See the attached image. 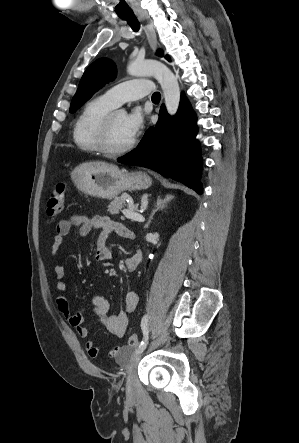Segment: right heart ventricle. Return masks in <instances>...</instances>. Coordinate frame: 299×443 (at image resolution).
Returning <instances> with one entry per match:
<instances>
[{"label":"right heart ventricle","mask_w":299,"mask_h":443,"mask_svg":"<svg viewBox=\"0 0 299 443\" xmlns=\"http://www.w3.org/2000/svg\"><path fill=\"white\" fill-rule=\"evenodd\" d=\"M115 107L104 96L96 97L86 103L73 126V141L78 149L87 153L100 152L99 127L105 115Z\"/></svg>","instance_id":"e07e8e85"}]
</instances>
